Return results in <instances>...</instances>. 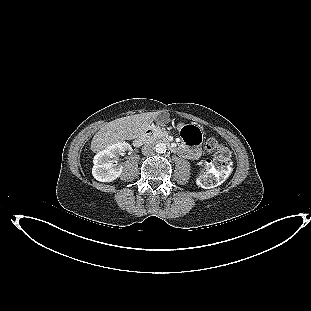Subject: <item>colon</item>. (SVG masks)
Returning a JSON list of instances; mask_svg holds the SVG:
<instances>
[{"mask_svg": "<svg viewBox=\"0 0 311 311\" xmlns=\"http://www.w3.org/2000/svg\"><path fill=\"white\" fill-rule=\"evenodd\" d=\"M183 138L192 144L200 142V132L192 126L186 125L181 129ZM205 151L212 155L210 163L207 165L206 172L199 175L200 185H217L223 183L231 173L232 159L230 150L215 139H209L205 144Z\"/></svg>", "mask_w": 311, "mask_h": 311, "instance_id": "1", "label": "colon"}]
</instances>
